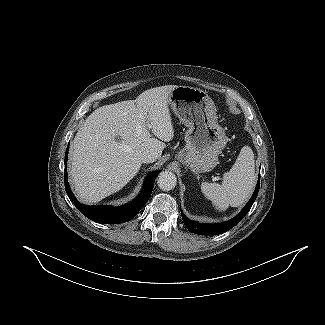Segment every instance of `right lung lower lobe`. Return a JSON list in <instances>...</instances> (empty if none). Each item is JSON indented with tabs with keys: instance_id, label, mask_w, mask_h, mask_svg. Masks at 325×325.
I'll list each match as a JSON object with an SVG mask.
<instances>
[{
	"instance_id": "1",
	"label": "right lung lower lobe",
	"mask_w": 325,
	"mask_h": 325,
	"mask_svg": "<svg viewBox=\"0 0 325 325\" xmlns=\"http://www.w3.org/2000/svg\"><path fill=\"white\" fill-rule=\"evenodd\" d=\"M69 146L67 147V151L65 154V168H67V154H68ZM160 171H155L148 175L145 179L143 188L140 194L130 203L121 206V207H112V206H86L84 204L79 203L74 197L68 183L67 179V171L65 169V190L69 196V199L73 202V204L79 209V211L84 214L87 218L103 224H113V223H124L137 215V213L141 210V208L146 204L148 199L151 196L152 189L154 186V182L156 176Z\"/></svg>"
}]
</instances>
